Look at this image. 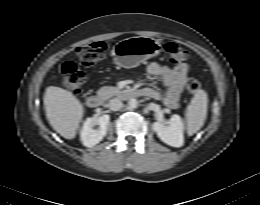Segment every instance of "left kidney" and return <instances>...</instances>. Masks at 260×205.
I'll use <instances>...</instances> for the list:
<instances>
[{"label":"left kidney","instance_id":"1","mask_svg":"<svg viewBox=\"0 0 260 205\" xmlns=\"http://www.w3.org/2000/svg\"><path fill=\"white\" fill-rule=\"evenodd\" d=\"M152 127L164 143L172 147H182L184 145V124L179 115H172L167 124L154 122Z\"/></svg>","mask_w":260,"mask_h":205}]
</instances>
